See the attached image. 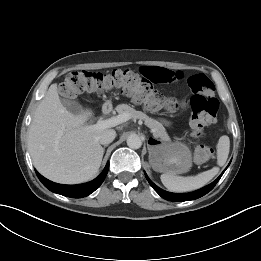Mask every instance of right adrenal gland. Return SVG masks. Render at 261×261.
Returning <instances> with one entry per match:
<instances>
[{
	"mask_svg": "<svg viewBox=\"0 0 261 261\" xmlns=\"http://www.w3.org/2000/svg\"><path fill=\"white\" fill-rule=\"evenodd\" d=\"M105 147H107V145L104 146L103 150H105Z\"/></svg>",
	"mask_w": 261,
	"mask_h": 261,
	"instance_id": "obj_1",
	"label": "right adrenal gland"
}]
</instances>
